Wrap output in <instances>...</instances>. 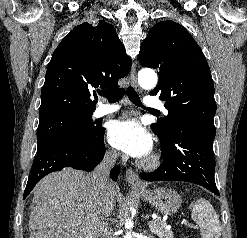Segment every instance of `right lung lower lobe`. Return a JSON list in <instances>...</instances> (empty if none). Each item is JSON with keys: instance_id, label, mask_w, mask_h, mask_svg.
Listing matches in <instances>:
<instances>
[{"instance_id": "obj_1", "label": "right lung lower lobe", "mask_w": 247, "mask_h": 238, "mask_svg": "<svg viewBox=\"0 0 247 238\" xmlns=\"http://www.w3.org/2000/svg\"><path fill=\"white\" fill-rule=\"evenodd\" d=\"M105 128L89 140L66 139L49 144L37 152L32 165L23 198L25 199L36 183L45 175L63 168L91 171L98 165L105 154L103 142ZM119 167L111 170V178L117 180Z\"/></svg>"}]
</instances>
